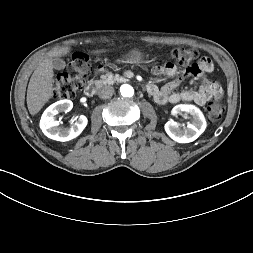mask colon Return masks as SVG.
I'll list each match as a JSON object with an SVG mask.
<instances>
[{
  "instance_id": "1",
  "label": "colon",
  "mask_w": 253,
  "mask_h": 253,
  "mask_svg": "<svg viewBox=\"0 0 253 253\" xmlns=\"http://www.w3.org/2000/svg\"><path fill=\"white\" fill-rule=\"evenodd\" d=\"M169 58L176 66L184 67L197 59V52L193 49L178 48L170 52ZM67 70L69 73L59 75L54 82L53 94L57 100L75 97L82 86L95 74L100 78L109 76L111 67L105 61H100L93 67L86 54L76 53L69 61ZM224 111V105L216 100L211 101L207 106L208 118L211 122L221 119Z\"/></svg>"
}]
</instances>
